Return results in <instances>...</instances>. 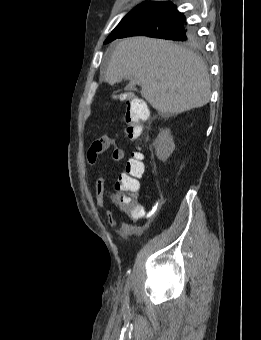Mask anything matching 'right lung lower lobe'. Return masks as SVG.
I'll list each match as a JSON object with an SVG mask.
<instances>
[{"mask_svg": "<svg viewBox=\"0 0 261 340\" xmlns=\"http://www.w3.org/2000/svg\"><path fill=\"white\" fill-rule=\"evenodd\" d=\"M189 26L185 16L171 2H161L144 15L118 38L145 35L171 40L174 34L185 31Z\"/></svg>", "mask_w": 261, "mask_h": 340, "instance_id": "98d812e1", "label": "right lung lower lobe"}]
</instances>
